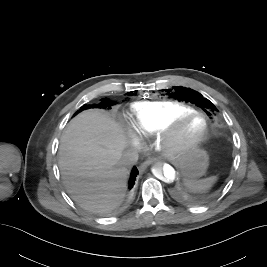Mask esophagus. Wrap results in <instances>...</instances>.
<instances>
[{
    "mask_svg": "<svg viewBox=\"0 0 267 267\" xmlns=\"http://www.w3.org/2000/svg\"><path fill=\"white\" fill-rule=\"evenodd\" d=\"M154 162V159L147 160L140 165V170H145L149 165Z\"/></svg>",
    "mask_w": 267,
    "mask_h": 267,
    "instance_id": "esophagus-1",
    "label": "esophagus"
}]
</instances>
